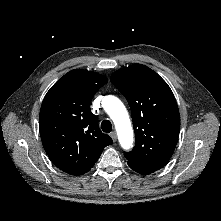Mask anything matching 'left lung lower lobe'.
<instances>
[{"label":"left lung lower lobe","instance_id":"obj_1","mask_svg":"<svg viewBox=\"0 0 221 221\" xmlns=\"http://www.w3.org/2000/svg\"><path fill=\"white\" fill-rule=\"evenodd\" d=\"M127 164H128L129 167L132 168L134 171H136V172H138V173H140V174H142V175H146V174H150V173L154 172V171H149V170H147V169H144V168H142V167H140V166H138V165H136L135 163L130 162V161H128Z\"/></svg>","mask_w":221,"mask_h":221}]
</instances>
